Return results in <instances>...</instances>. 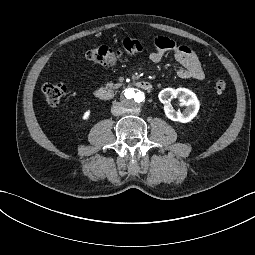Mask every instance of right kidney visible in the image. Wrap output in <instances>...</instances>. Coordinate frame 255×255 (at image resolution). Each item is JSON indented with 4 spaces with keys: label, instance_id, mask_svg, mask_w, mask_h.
Returning a JSON list of instances; mask_svg holds the SVG:
<instances>
[{
    "label": "right kidney",
    "instance_id": "obj_1",
    "mask_svg": "<svg viewBox=\"0 0 255 255\" xmlns=\"http://www.w3.org/2000/svg\"><path fill=\"white\" fill-rule=\"evenodd\" d=\"M91 112H92L91 109L86 110L81 117L82 121L88 120L91 115Z\"/></svg>",
    "mask_w": 255,
    "mask_h": 255
}]
</instances>
